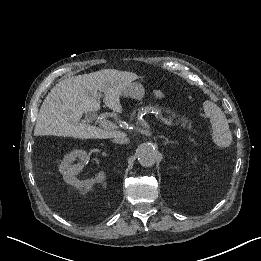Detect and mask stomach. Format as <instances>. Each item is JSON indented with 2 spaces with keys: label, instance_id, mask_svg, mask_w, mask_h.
I'll return each mask as SVG.
<instances>
[{
  "label": "stomach",
  "instance_id": "stomach-1",
  "mask_svg": "<svg viewBox=\"0 0 261 261\" xmlns=\"http://www.w3.org/2000/svg\"><path fill=\"white\" fill-rule=\"evenodd\" d=\"M122 95L133 99L142 100L145 95V89L142 84L132 82L123 90Z\"/></svg>",
  "mask_w": 261,
  "mask_h": 261
}]
</instances>
